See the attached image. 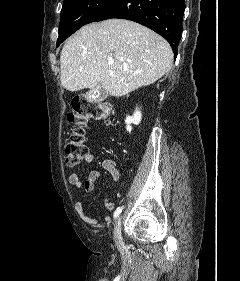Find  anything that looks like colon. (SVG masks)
Instances as JSON below:
<instances>
[{
  "label": "colon",
  "mask_w": 240,
  "mask_h": 281,
  "mask_svg": "<svg viewBox=\"0 0 240 281\" xmlns=\"http://www.w3.org/2000/svg\"><path fill=\"white\" fill-rule=\"evenodd\" d=\"M111 112V105L106 101L80 97L72 100V108L68 114V121L72 124V128L65 145V160L68 166L79 165L88 154L85 136L87 122L89 120L109 121Z\"/></svg>",
  "instance_id": "obj_1"
}]
</instances>
